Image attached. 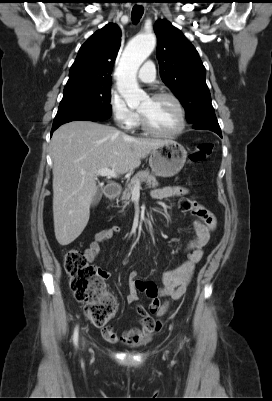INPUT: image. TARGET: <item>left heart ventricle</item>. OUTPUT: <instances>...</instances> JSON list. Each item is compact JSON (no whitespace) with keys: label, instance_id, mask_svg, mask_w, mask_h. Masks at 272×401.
I'll return each instance as SVG.
<instances>
[{"label":"left heart ventricle","instance_id":"left-heart-ventricle-1","mask_svg":"<svg viewBox=\"0 0 272 401\" xmlns=\"http://www.w3.org/2000/svg\"><path fill=\"white\" fill-rule=\"evenodd\" d=\"M138 110L146 116L148 123L157 130L170 132L179 126V111L170 99L152 100L148 98Z\"/></svg>","mask_w":272,"mask_h":401}]
</instances>
